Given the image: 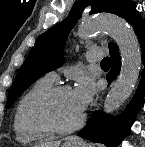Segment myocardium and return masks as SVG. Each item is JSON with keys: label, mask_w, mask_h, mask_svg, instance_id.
Instances as JSON below:
<instances>
[{"label": "myocardium", "mask_w": 145, "mask_h": 147, "mask_svg": "<svg viewBox=\"0 0 145 147\" xmlns=\"http://www.w3.org/2000/svg\"><path fill=\"white\" fill-rule=\"evenodd\" d=\"M69 85H54L42 93L38 94L30 103L29 107V118L40 124L46 130L52 134H69L79 129L84 121L85 114L82 113L81 117L77 122L70 126H62L56 122L51 114L52 102L62 93L70 91Z\"/></svg>", "instance_id": "obj_1"}]
</instances>
